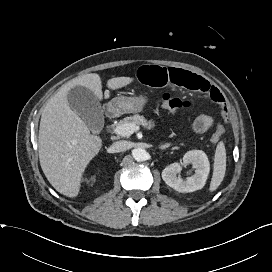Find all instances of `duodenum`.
<instances>
[{
    "mask_svg": "<svg viewBox=\"0 0 272 272\" xmlns=\"http://www.w3.org/2000/svg\"><path fill=\"white\" fill-rule=\"evenodd\" d=\"M107 114H108V117H109V118H111V117L113 116L112 111H108Z\"/></svg>",
    "mask_w": 272,
    "mask_h": 272,
    "instance_id": "duodenum-1",
    "label": "duodenum"
}]
</instances>
